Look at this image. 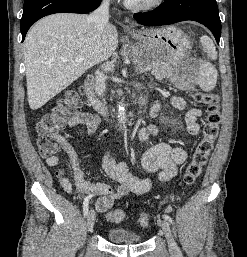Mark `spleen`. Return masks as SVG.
Segmentation results:
<instances>
[{"label": "spleen", "mask_w": 247, "mask_h": 257, "mask_svg": "<svg viewBox=\"0 0 247 257\" xmlns=\"http://www.w3.org/2000/svg\"><path fill=\"white\" fill-rule=\"evenodd\" d=\"M200 43L207 53L208 61H204L198 69L197 84L203 91L209 92L214 89L217 83V69L209 60L216 59L217 52L213 41L209 37L202 36Z\"/></svg>", "instance_id": "obj_1"}]
</instances>
